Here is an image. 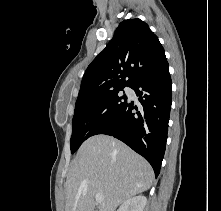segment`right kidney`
<instances>
[{"mask_svg":"<svg viewBox=\"0 0 221 211\" xmlns=\"http://www.w3.org/2000/svg\"><path fill=\"white\" fill-rule=\"evenodd\" d=\"M147 204L145 196H134L126 200L118 209V211H144Z\"/></svg>","mask_w":221,"mask_h":211,"instance_id":"right-kidney-1","label":"right kidney"}]
</instances>
